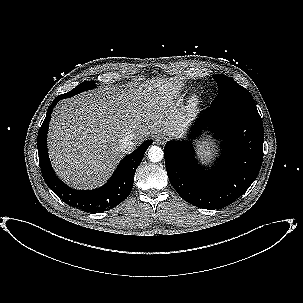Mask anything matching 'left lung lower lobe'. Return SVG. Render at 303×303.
<instances>
[{
	"mask_svg": "<svg viewBox=\"0 0 303 303\" xmlns=\"http://www.w3.org/2000/svg\"><path fill=\"white\" fill-rule=\"evenodd\" d=\"M207 126L223 140L222 155L212 169L197 163L188 141L166 143L165 165L172 186L185 201L219 209L238 199L258 176L263 160V122L255 104L210 106L201 112L189 137H199Z\"/></svg>",
	"mask_w": 303,
	"mask_h": 303,
	"instance_id": "1",
	"label": "left lung lower lobe"
}]
</instances>
